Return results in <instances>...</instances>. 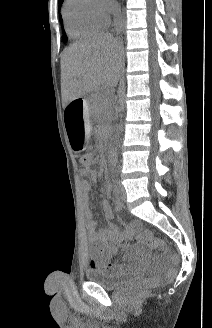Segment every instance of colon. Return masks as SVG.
Segmentation results:
<instances>
[{"label":"colon","instance_id":"1","mask_svg":"<svg viewBox=\"0 0 212 328\" xmlns=\"http://www.w3.org/2000/svg\"><path fill=\"white\" fill-rule=\"evenodd\" d=\"M80 170L82 173H93L94 168L91 166V158L88 153H83L80 158ZM138 238L147 243L148 246L156 247L162 249L167 257L171 266H176L179 262V258L176 254L169 251L168 248L165 247L162 239L155 237L150 230L143 229L138 232Z\"/></svg>","mask_w":212,"mask_h":328}]
</instances>
